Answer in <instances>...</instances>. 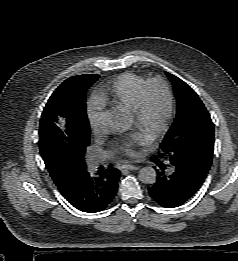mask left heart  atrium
<instances>
[{
  "instance_id": "1",
  "label": "left heart atrium",
  "mask_w": 238,
  "mask_h": 261,
  "mask_svg": "<svg viewBox=\"0 0 238 261\" xmlns=\"http://www.w3.org/2000/svg\"><path fill=\"white\" fill-rule=\"evenodd\" d=\"M151 139V134L138 130L120 139L117 147L123 154L134 157L138 154V148L148 144Z\"/></svg>"
}]
</instances>
